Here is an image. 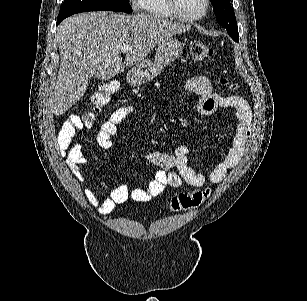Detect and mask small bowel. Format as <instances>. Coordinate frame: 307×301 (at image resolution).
I'll return each instance as SVG.
<instances>
[{"label":"small bowel","instance_id":"obj_1","mask_svg":"<svg viewBox=\"0 0 307 301\" xmlns=\"http://www.w3.org/2000/svg\"><path fill=\"white\" fill-rule=\"evenodd\" d=\"M186 88L197 98V109L205 115L213 114L219 107L234 111L236 116L235 132L232 145L227 154L215 165L211 173L206 176L195 172L188 165V155L191 147L189 144L179 145L173 154L153 151L148 154L150 163L158 166L154 180L144 189L129 191L127 186L120 185L110 188L106 196L98 195L94 190L85 188L83 193L86 200L97 207L101 215H107L113 211L117 204L124 203L128 199L138 202H146L160 195L166 187L178 188L183 183L195 187H201L207 180L213 183L221 182L227 172L235 168L241 161L246 150L251 134L252 112L248 102L240 96H225L213 91L208 78L195 76L188 80ZM133 113V107L129 105L115 109L109 119L105 121L97 134L98 145L103 149H110L113 145L112 137L118 127L122 125ZM82 128L79 116H70L62 125L58 133V149L62 157L66 159L67 166L71 169L78 181H83L80 167L87 163L81 146L74 143V137ZM100 185L104 186L102 183Z\"/></svg>","mask_w":307,"mask_h":301}]
</instances>
